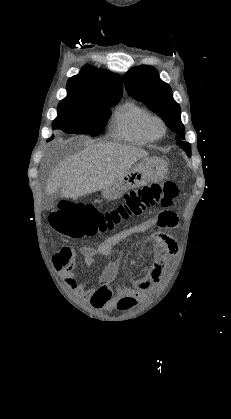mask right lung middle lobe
Masks as SVG:
<instances>
[{"mask_svg": "<svg viewBox=\"0 0 231 419\" xmlns=\"http://www.w3.org/2000/svg\"><path fill=\"white\" fill-rule=\"evenodd\" d=\"M118 101L119 98L102 101L62 100L52 124L53 129H61L69 134L97 136L104 131L111 115L109 107Z\"/></svg>", "mask_w": 231, "mask_h": 419, "instance_id": "1", "label": "right lung middle lobe"}]
</instances>
